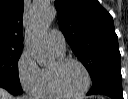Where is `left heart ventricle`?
Here are the masks:
<instances>
[{"label":"left heart ventricle","mask_w":128,"mask_h":99,"mask_svg":"<svg viewBox=\"0 0 128 99\" xmlns=\"http://www.w3.org/2000/svg\"><path fill=\"white\" fill-rule=\"evenodd\" d=\"M59 82L67 92L77 93L86 85V76L79 65L69 63L59 71Z\"/></svg>","instance_id":"b2bd125f"}]
</instances>
